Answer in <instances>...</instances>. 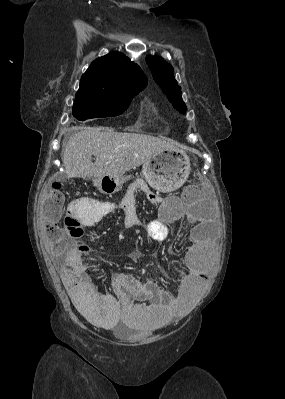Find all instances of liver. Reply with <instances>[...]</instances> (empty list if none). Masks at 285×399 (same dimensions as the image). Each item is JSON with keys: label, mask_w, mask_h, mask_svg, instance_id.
Masks as SVG:
<instances>
[{"label": "liver", "mask_w": 285, "mask_h": 399, "mask_svg": "<svg viewBox=\"0 0 285 399\" xmlns=\"http://www.w3.org/2000/svg\"><path fill=\"white\" fill-rule=\"evenodd\" d=\"M175 148L173 142L151 135L82 127L68 140L62 161L68 178L95 180L107 175L122 176L159 151ZM92 156L96 158L94 163Z\"/></svg>", "instance_id": "6515ba94"}]
</instances>
